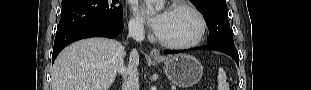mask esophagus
Returning a JSON list of instances; mask_svg holds the SVG:
<instances>
[{"label": "esophagus", "instance_id": "34e87169", "mask_svg": "<svg viewBox=\"0 0 311 90\" xmlns=\"http://www.w3.org/2000/svg\"><path fill=\"white\" fill-rule=\"evenodd\" d=\"M150 56L153 59H160L161 58V54L160 51L157 48H152L150 51Z\"/></svg>", "mask_w": 311, "mask_h": 90}]
</instances>
